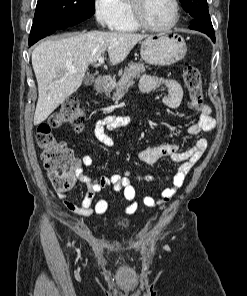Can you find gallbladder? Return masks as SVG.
I'll use <instances>...</instances> for the list:
<instances>
[{
    "label": "gallbladder",
    "instance_id": "1",
    "mask_svg": "<svg viewBox=\"0 0 247 296\" xmlns=\"http://www.w3.org/2000/svg\"><path fill=\"white\" fill-rule=\"evenodd\" d=\"M93 81H94V77L91 75L86 76L84 79V83L87 86L91 85L93 83Z\"/></svg>",
    "mask_w": 247,
    "mask_h": 296
}]
</instances>
